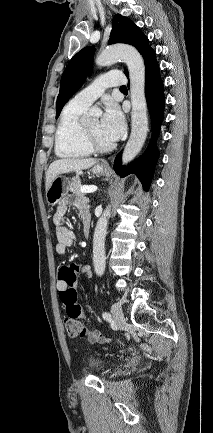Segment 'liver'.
Returning a JSON list of instances; mask_svg holds the SVG:
<instances>
[{
  "instance_id": "obj_1",
  "label": "liver",
  "mask_w": 213,
  "mask_h": 433,
  "mask_svg": "<svg viewBox=\"0 0 213 433\" xmlns=\"http://www.w3.org/2000/svg\"><path fill=\"white\" fill-rule=\"evenodd\" d=\"M97 162L96 159H59L51 163L46 173L45 187L46 190L51 185L52 181L59 175L88 169Z\"/></svg>"
}]
</instances>
